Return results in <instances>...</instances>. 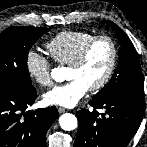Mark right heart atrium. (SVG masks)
Wrapping results in <instances>:
<instances>
[{
	"label": "right heart atrium",
	"instance_id": "1",
	"mask_svg": "<svg viewBox=\"0 0 147 147\" xmlns=\"http://www.w3.org/2000/svg\"><path fill=\"white\" fill-rule=\"evenodd\" d=\"M25 69L32 81L40 86L52 83L51 64L49 60L36 50H29L25 56Z\"/></svg>",
	"mask_w": 147,
	"mask_h": 147
}]
</instances>
